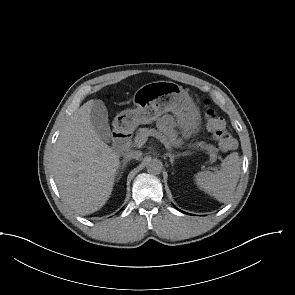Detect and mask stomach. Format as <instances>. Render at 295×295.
<instances>
[{
	"instance_id": "obj_1",
	"label": "stomach",
	"mask_w": 295,
	"mask_h": 295,
	"mask_svg": "<svg viewBox=\"0 0 295 295\" xmlns=\"http://www.w3.org/2000/svg\"><path fill=\"white\" fill-rule=\"evenodd\" d=\"M136 109L122 111L118 122L128 130L150 124L162 114L172 112L179 126L190 133L198 130L200 112L188 92L171 81H156L142 86L136 93Z\"/></svg>"
}]
</instances>
